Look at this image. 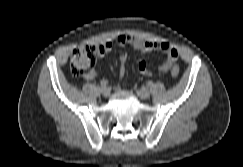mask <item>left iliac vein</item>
Returning a JSON list of instances; mask_svg holds the SVG:
<instances>
[{"mask_svg":"<svg viewBox=\"0 0 243 167\" xmlns=\"http://www.w3.org/2000/svg\"><path fill=\"white\" fill-rule=\"evenodd\" d=\"M136 93H137L139 98L144 99V100L148 99L150 97V95H151L150 91L147 88H144V87L138 89L136 91Z\"/></svg>","mask_w":243,"mask_h":167,"instance_id":"obj_1","label":"left iliac vein"}]
</instances>
